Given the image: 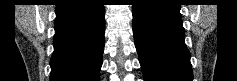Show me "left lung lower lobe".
Wrapping results in <instances>:
<instances>
[{
	"label": "left lung lower lobe",
	"instance_id": "obj_1",
	"mask_svg": "<svg viewBox=\"0 0 237 81\" xmlns=\"http://www.w3.org/2000/svg\"><path fill=\"white\" fill-rule=\"evenodd\" d=\"M132 13L144 81H192L179 1L138 0Z\"/></svg>",
	"mask_w": 237,
	"mask_h": 81
}]
</instances>
